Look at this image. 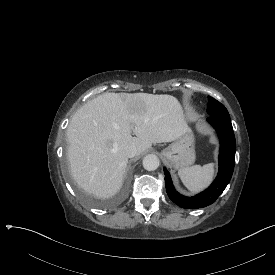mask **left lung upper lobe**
Returning <instances> with one entry per match:
<instances>
[{
  "instance_id": "obj_1",
  "label": "left lung upper lobe",
  "mask_w": 275,
  "mask_h": 275,
  "mask_svg": "<svg viewBox=\"0 0 275 275\" xmlns=\"http://www.w3.org/2000/svg\"><path fill=\"white\" fill-rule=\"evenodd\" d=\"M209 102L207 107V112L210 116L222 117L225 119H230L227 109L217 100L208 96Z\"/></svg>"
}]
</instances>
